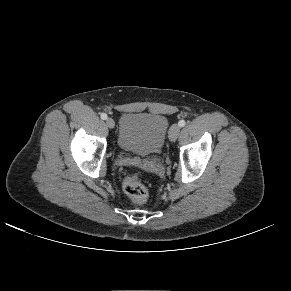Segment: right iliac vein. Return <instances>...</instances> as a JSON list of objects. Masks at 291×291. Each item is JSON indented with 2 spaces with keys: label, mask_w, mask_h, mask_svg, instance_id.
Returning <instances> with one entry per match:
<instances>
[{
  "label": "right iliac vein",
  "mask_w": 291,
  "mask_h": 291,
  "mask_svg": "<svg viewBox=\"0 0 291 291\" xmlns=\"http://www.w3.org/2000/svg\"><path fill=\"white\" fill-rule=\"evenodd\" d=\"M106 125L109 127V128H114L115 126V122L112 118H107L106 119Z\"/></svg>",
  "instance_id": "1"
}]
</instances>
